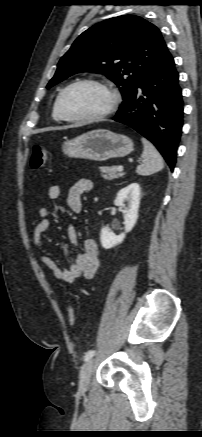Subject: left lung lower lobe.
Here are the masks:
<instances>
[{
  "instance_id": "1",
  "label": "left lung lower lobe",
  "mask_w": 202,
  "mask_h": 437,
  "mask_svg": "<svg viewBox=\"0 0 202 437\" xmlns=\"http://www.w3.org/2000/svg\"><path fill=\"white\" fill-rule=\"evenodd\" d=\"M113 119L149 139L174 169L183 126V100L179 74L168 50Z\"/></svg>"
}]
</instances>
